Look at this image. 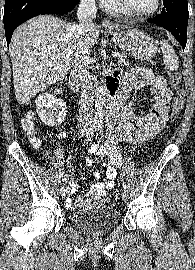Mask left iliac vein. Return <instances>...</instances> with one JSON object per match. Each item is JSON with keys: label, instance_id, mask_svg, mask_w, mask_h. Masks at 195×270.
Returning <instances> with one entry per match:
<instances>
[{"label": "left iliac vein", "instance_id": "4c4485c4", "mask_svg": "<svg viewBox=\"0 0 195 270\" xmlns=\"http://www.w3.org/2000/svg\"><path fill=\"white\" fill-rule=\"evenodd\" d=\"M121 195H122V199L124 201H127L128 200L129 195H128V191L126 189H123L122 190V194Z\"/></svg>", "mask_w": 195, "mask_h": 270}]
</instances>
